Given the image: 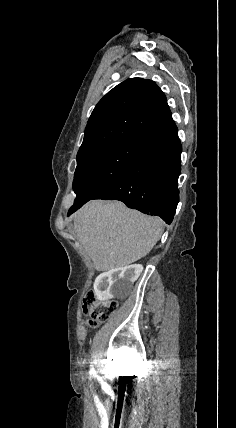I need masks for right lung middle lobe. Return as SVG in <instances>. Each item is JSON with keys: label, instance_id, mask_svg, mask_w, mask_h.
<instances>
[{"label": "right lung middle lobe", "instance_id": "right-lung-middle-lobe-1", "mask_svg": "<svg viewBox=\"0 0 236 428\" xmlns=\"http://www.w3.org/2000/svg\"><path fill=\"white\" fill-rule=\"evenodd\" d=\"M140 140H128L79 161L74 174L76 199L71 209L82 206L112 184L138 153Z\"/></svg>", "mask_w": 236, "mask_h": 428}]
</instances>
